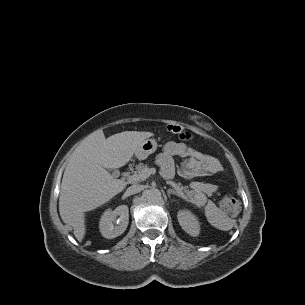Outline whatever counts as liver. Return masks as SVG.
<instances>
[{"instance_id":"liver-1","label":"liver","mask_w":305,"mask_h":305,"mask_svg":"<svg viewBox=\"0 0 305 305\" xmlns=\"http://www.w3.org/2000/svg\"><path fill=\"white\" fill-rule=\"evenodd\" d=\"M153 135L124 131L106 139L102 130H96L74 150L62 178L59 213L63 222L73 228L78 241L86 233L85 212L105 204L127 185L106 169L126 165L138 146Z\"/></svg>"}]
</instances>
